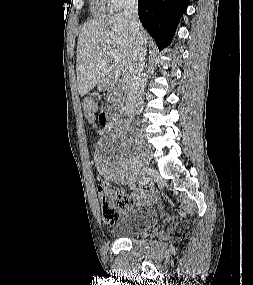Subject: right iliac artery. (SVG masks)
Segmentation results:
<instances>
[{"instance_id":"1","label":"right iliac artery","mask_w":253,"mask_h":285,"mask_svg":"<svg viewBox=\"0 0 253 285\" xmlns=\"http://www.w3.org/2000/svg\"><path fill=\"white\" fill-rule=\"evenodd\" d=\"M129 187H130V189H135L136 185H135V183L130 182Z\"/></svg>"}]
</instances>
